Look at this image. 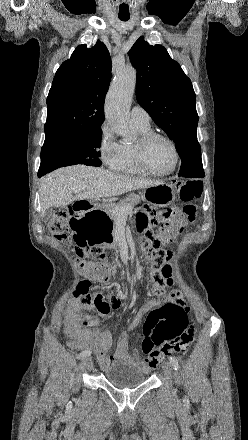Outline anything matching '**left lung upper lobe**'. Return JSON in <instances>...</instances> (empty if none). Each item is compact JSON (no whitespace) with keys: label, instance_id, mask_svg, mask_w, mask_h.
Segmentation results:
<instances>
[{"label":"left lung upper lobe","instance_id":"left-lung-upper-lobe-1","mask_svg":"<svg viewBox=\"0 0 248 440\" xmlns=\"http://www.w3.org/2000/svg\"><path fill=\"white\" fill-rule=\"evenodd\" d=\"M128 54L137 70V101L174 140L182 159L179 176L204 177L196 133V95L190 79L163 46L149 45L143 37Z\"/></svg>","mask_w":248,"mask_h":440}]
</instances>
